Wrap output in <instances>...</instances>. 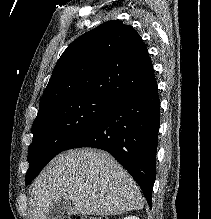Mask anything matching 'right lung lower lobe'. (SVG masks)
Returning a JSON list of instances; mask_svg holds the SVG:
<instances>
[{"label": "right lung lower lobe", "mask_w": 211, "mask_h": 219, "mask_svg": "<svg viewBox=\"0 0 211 219\" xmlns=\"http://www.w3.org/2000/svg\"><path fill=\"white\" fill-rule=\"evenodd\" d=\"M159 127L160 100L154 77L115 102L65 150L92 147L109 152L138 183L151 207Z\"/></svg>", "instance_id": "1"}]
</instances>
